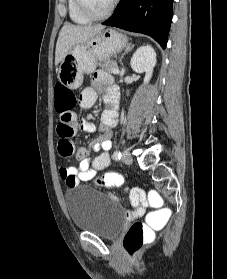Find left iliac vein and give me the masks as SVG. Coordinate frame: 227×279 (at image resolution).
Returning <instances> with one entry per match:
<instances>
[{
	"instance_id": "left-iliac-vein-1",
	"label": "left iliac vein",
	"mask_w": 227,
	"mask_h": 279,
	"mask_svg": "<svg viewBox=\"0 0 227 279\" xmlns=\"http://www.w3.org/2000/svg\"><path fill=\"white\" fill-rule=\"evenodd\" d=\"M121 160H122V162L124 163V164H127V165H130V164H132V156H131V154H130V152L128 151V150H125L124 152H123V155H122V158H121Z\"/></svg>"
}]
</instances>
